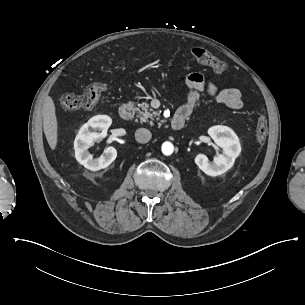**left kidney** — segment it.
<instances>
[{
    "label": "left kidney",
    "instance_id": "5707ae66",
    "mask_svg": "<svg viewBox=\"0 0 305 305\" xmlns=\"http://www.w3.org/2000/svg\"><path fill=\"white\" fill-rule=\"evenodd\" d=\"M208 134L216 145L223 149V154L214 157L210 162L206 155L198 154L195 163L205 174L218 176L229 170L241 152L238 136L227 126L216 125L208 129Z\"/></svg>",
    "mask_w": 305,
    "mask_h": 305
}]
</instances>
